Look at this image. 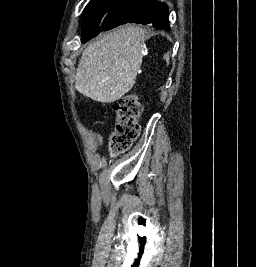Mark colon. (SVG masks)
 Wrapping results in <instances>:
<instances>
[{
	"mask_svg": "<svg viewBox=\"0 0 256 267\" xmlns=\"http://www.w3.org/2000/svg\"><path fill=\"white\" fill-rule=\"evenodd\" d=\"M113 109L118 120L115 134L111 139V148L114 153L119 154L128 150L131 144L137 140L140 131L138 121L143 107L137 94L130 93L114 102Z\"/></svg>",
	"mask_w": 256,
	"mask_h": 267,
	"instance_id": "colon-1",
	"label": "colon"
}]
</instances>
